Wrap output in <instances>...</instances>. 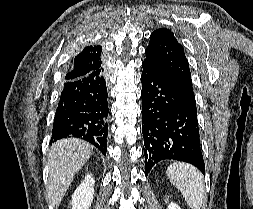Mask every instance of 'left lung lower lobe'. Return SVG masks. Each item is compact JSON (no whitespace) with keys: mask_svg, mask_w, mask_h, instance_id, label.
<instances>
[{"mask_svg":"<svg viewBox=\"0 0 253 209\" xmlns=\"http://www.w3.org/2000/svg\"><path fill=\"white\" fill-rule=\"evenodd\" d=\"M142 68L145 175L165 159L190 163L205 174L197 113L165 71L145 61Z\"/></svg>","mask_w":253,"mask_h":209,"instance_id":"1","label":"left lung lower lobe"}]
</instances>
